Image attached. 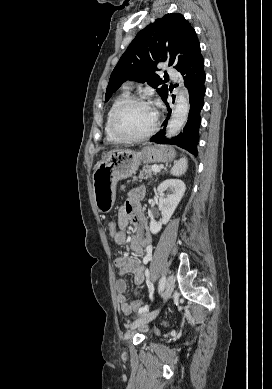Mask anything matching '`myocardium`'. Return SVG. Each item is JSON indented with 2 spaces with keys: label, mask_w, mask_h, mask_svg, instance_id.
<instances>
[{
  "label": "myocardium",
  "mask_w": 272,
  "mask_h": 389,
  "mask_svg": "<svg viewBox=\"0 0 272 389\" xmlns=\"http://www.w3.org/2000/svg\"><path fill=\"white\" fill-rule=\"evenodd\" d=\"M133 104L146 105V106H149L152 108L151 104L146 99H143V98L137 97V96L128 97L122 103H120L118 105V107L114 110L112 117H111V130H112L113 134L120 141L137 142V141L145 140V139L149 138L150 136H152L158 128L159 115H158L157 111H155L152 108L154 111V121H153L151 128L147 132H145L141 135H137V136H131V135H126V134L122 133L118 127L119 116L128 106L133 105Z\"/></svg>",
  "instance_id": "1"
}]
</instances>
